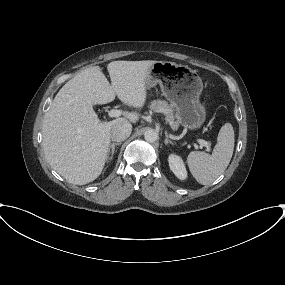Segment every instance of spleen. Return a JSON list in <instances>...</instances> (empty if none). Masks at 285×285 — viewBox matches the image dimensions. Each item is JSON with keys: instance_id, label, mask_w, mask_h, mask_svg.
I'll list each match as a JSON object with an SVG mask.
<instances>
[{"instance_id": "1", "label": "spleen", "mask_w": 285, "mask_h": 285, "mask_svg": "<svg viewBox=\"0 0 285 285\" xmlns=\"http://www.w3.org/2000/svg\"><path fill=\"white\" fill-rule=\"evenodd\" d=\"M235 135L233 126L225 123L217 137L212 154L192 151L187 164L193 177L202 185L211 184L227 168L234 151Z\"/></svg>"}]
</instances>
